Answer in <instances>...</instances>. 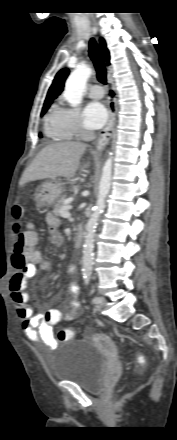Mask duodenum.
I'll use <instances>...</instances> for the list:
<instances>
[{"label":"duodenum","instance_id":"410a0bca","mask_svg":"<svg viewBox=\"0 0 177 440\" xmlns=\"http://www.w3.org/2000/svg\"><path fill=\"white\" fill-rule=\"evenodd\" d=\"M84 240V231L81 227L76 228L74 235V247L80 249Z\"/></svg>","mask_w":177,"mask_h":440}]
</instances>
